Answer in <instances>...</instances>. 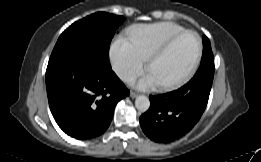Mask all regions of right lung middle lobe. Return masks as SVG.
Returning <instances> with one entry per match:
<instances>
[{
  "mask_svg": "<svg viewBox=\"0 0 261 162\" xmlns=\"http://www.w3.org/2000/svg\"><path fill=\"white\" fill-rule=\"evenodd\" d=\"M124 21L123 16L105 12L89 15L69 26L59 37L51 57L87 49L109 58L110 42L115 30Z\"/></svg>",
  "mask_w": 261,
  "mask_h": 162,
  "instance_id": "1",
  "label": "right lung middle lobe"
}]
</instances>
